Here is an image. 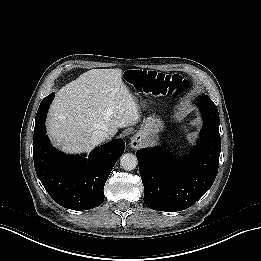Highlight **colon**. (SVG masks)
Instances as JSON below:
<instances>
[{"instance_id":"1","label":"colon","mask_w":261,"mask_h":261,"mask_svg":"<svg viewBox=\"0 0 261 261\" xmlns=\"http://www.w3.org/2000/svg\"><path fill=\"white\" fill-rule=\"evenodd\" d=\"M132 74L135 77V83L144 92L153 96L177 98L184 84L176 75H164L147 70H135Z\"/></svg>"}]
</instances>
